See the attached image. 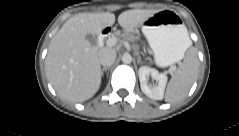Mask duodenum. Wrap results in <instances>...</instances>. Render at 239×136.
Masks as SVG:
<instances>
[{"mask_svg": "<svg viewBox=\"0 0 239 136\" xmlns=\"http://www.w3.org/2000/svg\"><path fill=\"white\" fill-rule=\"evenodd\" d=\"M111 31H112L111 27H105L101 30V32L99 33V35L97 37V45L98 46H101L103 44L106 37L110 34Z\"/></svg>", "mask_w": 239, "mask_h": 136, "instance_id": "duodenum-1", "label": "duodenum"}]
</instances>
